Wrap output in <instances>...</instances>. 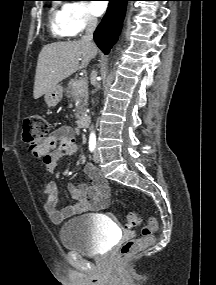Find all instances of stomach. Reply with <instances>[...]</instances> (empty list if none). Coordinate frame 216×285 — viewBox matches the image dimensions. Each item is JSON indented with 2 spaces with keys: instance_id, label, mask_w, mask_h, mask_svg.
<instances>
[{
  "instance_id": "stomach-1",
  "label": "stomach",
  "mask_w": 216,
  "mask_h": 285,
  "mask_svg": "<svg viewBox=\"0 0 216 285\" xmlns=\"http://www.w3.org/2000/svg\"><path fill=\"white\" fill-rule=\"evenodd\" d=\"M63 97V87L56 85L49 92L45 93V102L49 107H55Z\"/></svg>"
}]
</instances>
